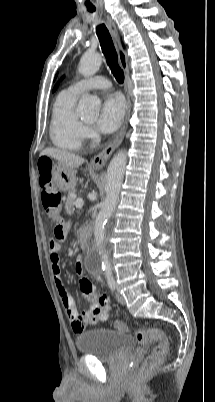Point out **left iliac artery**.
Here are the masks:
<instances>
[{"mask_svg": "<svg viewBox=\"0 0 215 402\" xmlns=\"http://www.w3.org/2000/svg\"><path fill=\"white\" fill-rule=\"evenodd\" d=\"M108 286L111 290H114L116 287V283L113 277H108L107 279Z\"/></svg>", "mask_w": 215, "mask_h": 402, "instance_id": "left-iliac-artery-1", "label": "left iliac artery"}]
</instances>
